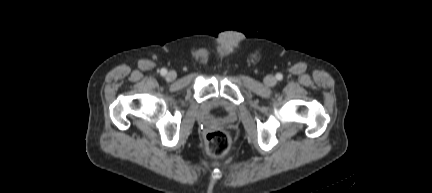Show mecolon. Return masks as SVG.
<instances>
[{"label": "colon", "mask_w": 432, "mask_h": 193, "mask_svg": "<svg viewBox=\"0 0 432 193\" xmlns=\"http://www.w3.org/2000/svg\"><path fill=\"white\" fill-rule=\"evenodd\" d=\"M205 145L209 155L221 157L229 151L231 138L225 131L215 130L207 135Z\"/></svg>", "instance_id": "colon-1"}]
</instances>
